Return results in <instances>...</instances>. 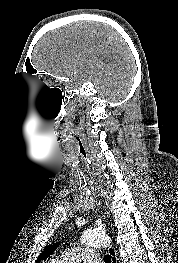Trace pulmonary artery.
<instances>
[{
  "label": "pulmonary artery",
  "mask_w": 178,
  "mask_h": 263,
  "mask_svg": "<svg viewBox=\"0 0 178 263\" xmlns=\"http://www.w3.org/2000/svg\"><path fill=\"white\" fill-rule=\"evenodd\" d=\"M98 259V252L88 247L68 249L56 257L60 263H98Z\"/></svg>",
  "instance_id": "pulmonary-artery-1"
}]
</instances>
